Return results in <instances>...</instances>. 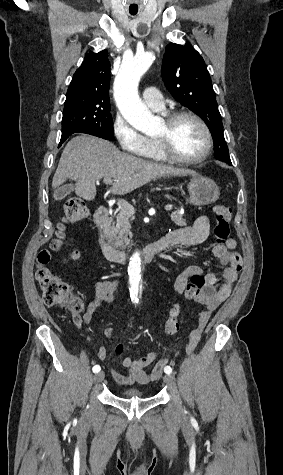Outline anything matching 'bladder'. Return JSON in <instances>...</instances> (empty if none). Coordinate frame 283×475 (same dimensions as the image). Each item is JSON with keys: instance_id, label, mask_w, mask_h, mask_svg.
I'll return each instance as SVG.
<instances>
[{"instance_id": "31cf9c89", "label": "bladder", "mask_w": 283, "mask_h": 475, "mask_svg": "<svg viewBox=\"0 0 283 475\" xmlns=\"http://www.w3.org/2000/svg\"><path fill=\"white\" fill-rule=\"evenodd\" d=\"M121 398L124 399H146L147 394L143 391H141L138 388H130V389H124L121 391L120 394Z\"/></svg>"}]
</instances>
